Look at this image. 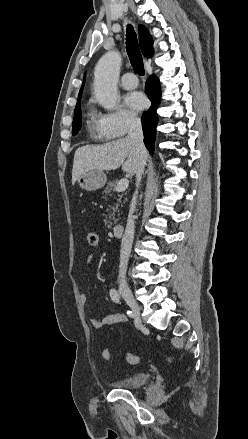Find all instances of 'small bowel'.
I'll list each match as a JSON object with an SVG mask.
<instances>
[{
    "label": "small bowel",
    "mask_w": 248,
    "mask_h": 439,
    "mask_svg": "<svg viewBox=\"0 0 248 439\" xmlns=\"http://www.w3.org/2000/svg\"><path fill=\"white\" fill-rule=\"evenodd\" d=\"M94 259L93 255L88 256L86 259V266H90ZM80 298L82 302H85L87 300V295L82 292L80 295ZM126 321V316L122 313H113L109 315H105L102 318H93L90 320V323L93 328L99 329L103 326H110L118 323H122Z\"/></svg>",
    "instance_id": "c3829d8e"
}]
</instances>
